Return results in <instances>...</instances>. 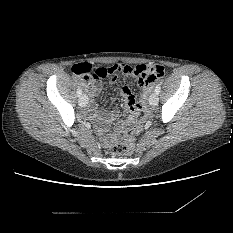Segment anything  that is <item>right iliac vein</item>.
<instances>
[{
    "label": "right iliac vein",
    "mask_w": 233,
    "mask_h": 233,
    "mask_svg": "<svg viewBox=\"0 0 233 233\" xmlns=\"http://www.w3.org/2000/svg\"><path fill=\"white\" fill-rule=\"evenodd\" d=\"M87 103H88V97H87V95L84 94L79 98V105L81 107H85L87 105Z\"/></svg>",
    "instance_id": "1"
}]
</instances>
